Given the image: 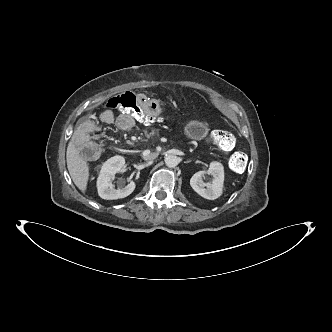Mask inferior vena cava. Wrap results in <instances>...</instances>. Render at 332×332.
<instances>
[{
  "mask_svg": "<svg viewBox=\"0 0 332 332\" xmlns=\"http://www.w3.org/2000/svg\"><path fill=\"white\" fill-rule=\"evenodd\" d=\"M157 156H158V153L153 152V153H150L149 155H144V159L146 161H150V160H154Z\"/></svg>",
  "mask_w": 332,
  "mask_h": 332,
  "instance_id": "602c4592",
  "label": "inferior vena cava"
}]
</instances>
